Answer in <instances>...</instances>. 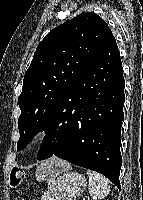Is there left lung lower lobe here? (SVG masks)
<instances>
[{"instance_id":"obj_1","label":"left lung lower lobe","mask_w":143,"mask_h":200,"mask_svg":"<svg viewBox=\"0 0 143 200\" xmlns=\"http://www.w3.org/2000/svg\"><path fill=\"white\" fill-rule=\"evenodd\" d=\"M125 81L113 38L63 97L62 120H51L37 159L55 155L105 175L120 188Z\"/></svg>"}]
</instances>
